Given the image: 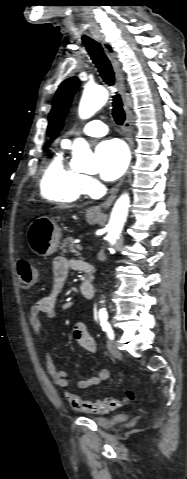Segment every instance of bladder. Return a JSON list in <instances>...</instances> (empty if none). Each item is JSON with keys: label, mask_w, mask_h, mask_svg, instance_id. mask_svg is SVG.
<instances>
[{"label": "bladder", "mask_w": 187, "mask_h": 479, "mask_svg": "<svg viewBox=\"0 0 187 479\" xmlns=\"http://www.w3.org/2000/svg\"><path fill=\"white\" fill-rule=\"evenodd\" d=\"M91 419L94 420L96 424L103 429H109L116 423L115 418L92 416Z\"/></svg>", "instance_id": "1"}]
</instances>
